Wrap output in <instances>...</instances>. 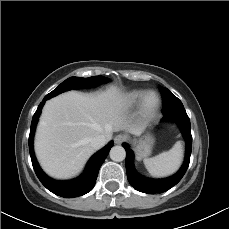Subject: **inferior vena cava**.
<instances>
[{
    "mask_svg": "<svg viewBox=\"0 0 229 229\" xmlns=\"http://www.w3.org/2000/svg\"><path fill=\"white\" fill-rule=\"evenodd\" d=\"M106 142H107V140H106V137L104 135H96L91 139L90 144H91L92 148L97 150V149L103 147L106 144Z\"/></svg>",
    "mask_w": 229,
    "mask_h": 229,
    "instance_id": "602c4592",
    "label": "inferior vena cava"
}]
</instances>
